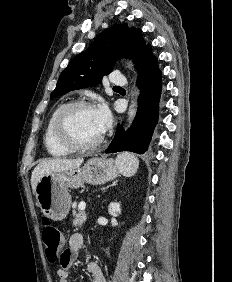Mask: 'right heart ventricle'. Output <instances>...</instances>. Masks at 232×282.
Wrapping results in <instances>:
<instances>
[{
    "label": "right heart ventricle",
    "instance_id": "1",
    "mask_svg": "<svg viewBox=\"0 0 232 282\" xmlns=\"http://www.w3.org/2000/svg\"><path fill=\"white\" fill-rule=\"evenodd\" d=\"M63 105L57 106L52 112L47 122L44 132V145L49 155L53 157H63L68 155L71 151L61 146L55 139L53 134V125L55 118Z\"/></svg>",
    "mask_w": 232,
    "mask_h": 282
}]
</instances>
